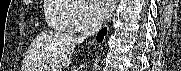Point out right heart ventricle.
Masks as SVG:
<instances>
[{
    "mask_svg": "<svg viewBox=\"0 0 181 71\" xmlns=\"http://www.w3.org/2000/svg\"><path fill=\"white\" fill-rule=\"evenodd\" d=\"M70 8L58 1L49 0L46 2L45 13L50 27L56 30L69 31L66 22V12Z\"/></svg>",
    "mask_w": 181,
    "mask_h": 71,
    "instance_id": "obj_1",
    "label": "right heart ventricle"
}]
</instances>
